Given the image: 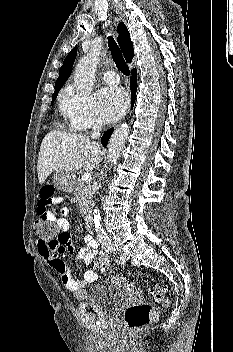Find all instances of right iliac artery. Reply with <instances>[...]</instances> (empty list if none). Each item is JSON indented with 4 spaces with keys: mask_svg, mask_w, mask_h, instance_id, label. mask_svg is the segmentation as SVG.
<instances>
[{
    "mask_svg": "<svg viewBox=\"0 0 233 352\" xmlns=\"http://www.w3.org/2000/svg\"><path fill=\"white\" fill-rule=\"evenodd\" d=\"M108 248H109V247H106V248H105V249H106V251L108 250Z\"/></svg>",
    "mask_w": 233,
    "mask_h": 352,
    "instance_id": "1",
    "label": "right iliac artery"
}]
</instances>
